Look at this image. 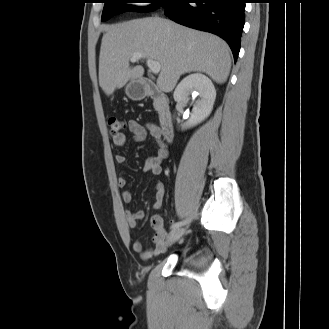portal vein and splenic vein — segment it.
Instances as JSON below:
<instances>
[{
	"label": "portal vein and splenic vein",
	"instance_id": "18ae733b",
	"mask_svg": "<svg viewBox=\"0 0 329 329\" xmlns=\"http://www.w3.org/2000/svg\"><path fill=\"white\" fill-rule=\"evenodd\" d=\"M141 59H145L144 55L141 54V53H134L131 58H130V61L132 63H135ZM146 63H147V66L149 67L150 71L153 73V74H158L160 72V69H161V65L159 62L157 61H154V60H151V59H146Z\"/></svg>",
	"mask_w": 329,
	"mask_h": 329
}]
</instances>
